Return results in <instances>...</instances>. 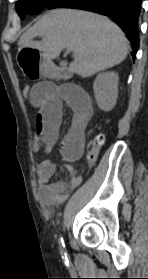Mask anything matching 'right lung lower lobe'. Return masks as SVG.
<instances>
[{
    "label": "right lung lower lobe",
    "instance_id": "1",
    "mask_svg": "<svg viewBox=\"0 0 148 279\" xmlns=\"http://www.w3.org/2000/svg\"><path fill=\"white\" fill-rule=\"evenodd\" d=\"M142 0H57L48 6L52 8L83 9L106 15L122 28L132 45V56L135 58L139 47L138 22Z\"/></svg>",
    "mask_w": 148,
    "mask_h": 279
}]
</instances>
